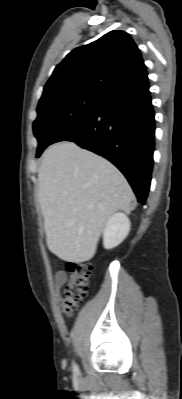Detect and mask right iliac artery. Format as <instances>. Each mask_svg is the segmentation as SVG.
Returning <instances> with one entry per match:
<instances>
[{"instance_id": "right-iliac-artery-1", "label": "right iliac artery", "mask_w": 182, "mask_h": 399, "mask_svg": "<svg viewBox=\"0 0 182 399\" xmlns=\"http://www.w3.org/2000/svg\"><path fill=\"white\" fill-rule=\"evenodd\" d=\"M73 371H74V373L79 372L78 366L76 364H74V366H73Z\"/></svg>"}]
</instances>
